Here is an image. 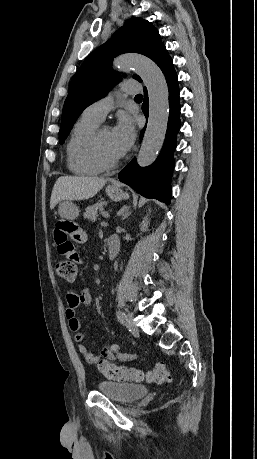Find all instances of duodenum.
<instances>
[{
  "label": "duodenum",
  "instance_id": "410a0bca",
  "mask_svg": "<svg viewBox=\"0 0 257 459\" xmlns=\"http://www.w3.org/2000/svg\"><path fill=\"white\" fill-rule=\"evenodd\" d=\"M107 253L110 259H114L119 253V242L117 238L110 236L107 240Z\"/></svg>",
  "mask_w": 257,
  "mask_h": 459
}]
</instances>
